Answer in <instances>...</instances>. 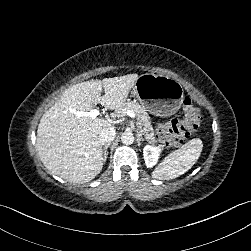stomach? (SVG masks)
<instances>
[{"label":"stomach","instance_id":"0dacf381","mask_svg":"<svg viewBox=\"0 0 251 251\" xmlns=\"http://www.w3.org/2000/svg\"><path fill=\"white\" fill-rule=\"evenodd\" d=\"M142 107L151 114L169 117L181 107L184 91L181 84L166 75H140L131 90Z\"/></svg>","mask_w":251,"mask_h":251}]
</instances>
